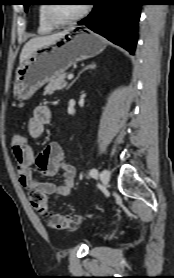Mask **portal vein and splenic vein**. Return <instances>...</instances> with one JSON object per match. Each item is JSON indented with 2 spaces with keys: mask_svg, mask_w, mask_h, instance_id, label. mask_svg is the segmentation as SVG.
I'll return each mask as SVG.
<instances>
[{
  "mask_svg": "<svg viewBox=\"0 0 174 278\" xmlns=\"http://www.w3.org/2000/svg\"><path fill=\"white\" fill-rule=\"evenodd\" d=\"M73 77H74L73 74H70V75H68L67 79L71 80Z\"/></svg>",
  "mask_w": 174,
  "mask_h": 278,
  "instance_id": "1",
  "label": "portal vein and splenic vein"
}]
</instances>
